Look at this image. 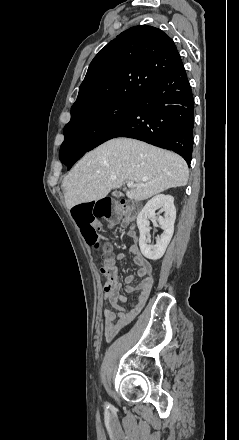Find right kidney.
Listing matches in <instances>:
<instances>
[{"label": "right kidney", "mask_w": 239, "mask_h": 440, "mask_svg": "<svg viewBox=\"0 0 239 440\" xmlns=\"http://www.w3.org/2000/svg\"><path fill=\"white\" fill-rule=\"evenodd\" d=\"M156 210H162L165 212L163 216H159L158 222L160 228H163L164 232L160 238H156L157 244H151L149 220L156 218ZM176 220V208L174 206L173 196H165V194H158L151 200H148L146 206L141 210L137 216V226L140 232L139 244H142V252L144 257H153L154 260L160 259V253H164L165 248L171 246V238L174 232V222Z\"/></svg>", "instance_id": "obj_1"}]
</instances>
